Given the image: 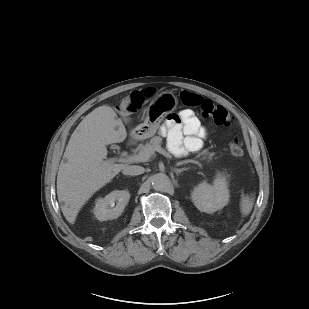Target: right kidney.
Here are the masks:
<instances>
[{"instance_id":"ca27d5eb","label":"right kidney","mask_w":309,"mask_h":309,"mask_svg":"<svg viewBox=\"0 0 309 309\" xmlns=\"http://www.w3.org/2000/svg\"><path fill=\"white\" fill-rule=\"evenodd\" d=\"M130 194L125 190L112 191L104 198H99L94 207V215L100 221L118 218L129 202ZM116 202V206H115Z\"/></svg>"}]
</instances>
